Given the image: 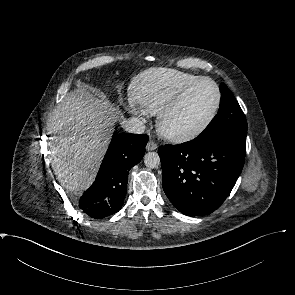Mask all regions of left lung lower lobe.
<instances>
[{"label":"left lung lower lobe","mask_w":295,"mask_h":295,"mask_svg":"<svg viewBox=\"0 0 295 295\" xmlns=\"http://www.w3.org/2000/svg\"><path fill=\"white\" fill-rule=\"evenodd\" d=\"M245 153L246 143L225 136L160 146L163 190L183 214H210L230 194Z\"/></svg>","instance_id":"1"}]
</instances>
